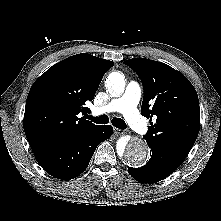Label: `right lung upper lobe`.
I'll use <instances>...</instances> for the list:
<instances>
[{
    "mask_svg": "<svg viewBox=\"0 0 221 221\" xmlns=\"http://www.w3.org/2000/svg\"><path fill=\"white\" fill-rule=\"evenodd\" d=\"M112 61L81 53L53 65L32 85L24 114V131L34 154L79 137L99 125L79 118L89 112Z\"/></svg>",
    "mask_w": 221,
    "mask_h": 221,
    "instance_id": "1",
    "label": "right lung upper lobe"
}]
</instances>
